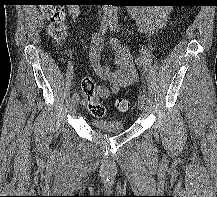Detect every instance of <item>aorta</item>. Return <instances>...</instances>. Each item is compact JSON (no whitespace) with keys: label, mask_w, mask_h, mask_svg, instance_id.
I'll return each mask as SVG.
<instances>
[{"label":"aorta","mask_w":217,"mask_h":197,"mask_svg":"<svg viewBox=\"0 0 217 197\" xmlns=\"http://www.w3.org/2000/svg\"><path fill=\"white\" fill-rule=\"evenodd\" d=\"M103 17L107 20H115L117 18V7L112 5H104Z\"/></svg>","instance_id":"1"}]
</instances>
